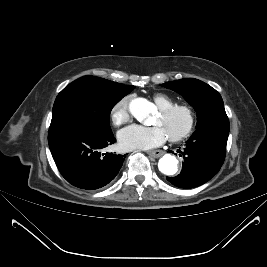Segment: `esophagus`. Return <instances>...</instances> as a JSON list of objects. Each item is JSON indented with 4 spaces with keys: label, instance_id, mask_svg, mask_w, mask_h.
<instances>
[{
    "label": "esophagus",
    "instance_id": "34e87169",
    "mask_svg": "<svg viewBox=\"0 0 267 267\" xmlns=\"http://www.w3.org/2000/svg\"><path fill=\"white\" fill-rule=\"evenodd\" d=\"M148 154L154 158H158L160 156H162L164 154V151L162 150H154V151H150L148 152Z\"/></svg>",
    "mask_w": 267,
    "mask_h": 267
}]
</instances>
